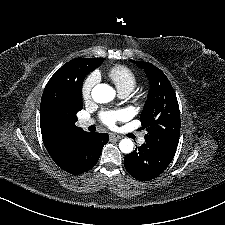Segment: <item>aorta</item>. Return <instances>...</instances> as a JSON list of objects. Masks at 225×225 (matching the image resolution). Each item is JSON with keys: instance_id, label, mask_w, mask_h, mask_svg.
Returning a JSON list of instances; mask_svg holds the SVG:
<instances>
[{"instance_id": "aorta-1", "label": "aorta", "mask_w": 225, "mask_h": 225, "mask_svg": "<svg viewBox=\"0 0 225 225\" xmlns=\"http://www.w3.org/2000/svg\"><path fill=\"white\" fill-rule=\"evenodd\" d=\"M92 98L97 103H108L115 97V90L108 84H97L91 92ZM133 141L129 138H124L119 143L121 152L129 154L133 151Z\"/></svg>"}]
</instances>
